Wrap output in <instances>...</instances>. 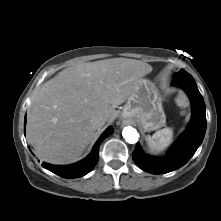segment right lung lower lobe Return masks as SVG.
Instances as JSON below:
<instances>
[{
	"instance_id": "1",
	"label": "right lung lower lobe",
	"mask_w": 221,
	"mask_h": 221,
	"mask_svg": "<svg viewBox=\"0 0 221 221\" xmlns=\"http://www.w3.org/2000/svg\"><path fill=\"white\" fill-rule=\"evenodd\" d=\"M26 119L24 120V124ZM113 132V128L110 126L106 131L100 136L90 155L84 160L77 162L68 166H57L43 162L42 166L45 169L50 170L51 172L63 177V178H78L86 175L90 172L93 167L97 164L99 158V146L101 142L108 137Z\"/></svg>"
}]
</instances>
